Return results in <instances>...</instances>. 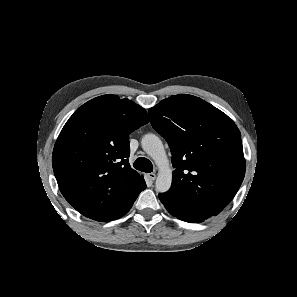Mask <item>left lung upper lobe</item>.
Listing matches in <instances>:
<instances>
[{"label": "left lung upper lobe", "mask_w": 297, "mask_h": 297, "mask_svg": "<svg viewBox=\"0 0 297 297\" xmlns=\"http://www.w3.org/2000/svg\"><path fill=\"white\" fill-rule=\"evenodd\" d=\"M149 114L172 153L175 170L167 194L203 219L219 214L245 176L241 134L234 121L187 94L162 100Z\"/></svg>", "instance_id": "5c2ea615"}]
</instances>
